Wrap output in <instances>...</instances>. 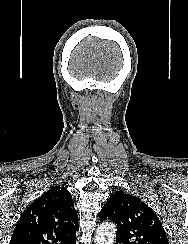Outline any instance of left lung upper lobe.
<instances>
[{"mask_svg":"<svg viewBox=\"0 0 188 244\" xmlns=\"http://www.w3.org/2000/svg\"><path fill=\"white\" fill-rule=\"evenodd\" d=\"M99 218L116 224V243L169 244L162 223L153 210L139 198L123 191L112 194Z\"/></svg>","mask_w":188,"mask_h":244,"instance_id":"1","label":"left lung upper lobe"}]
</instances>
